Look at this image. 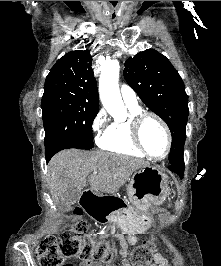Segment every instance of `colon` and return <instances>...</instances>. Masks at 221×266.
Masks as SVG:
<instances>
[{
	"mask_svg": "<svg viewBox=\"0 0 221 266\" xmlns=\"http://www.w3.org/2000/svg\"><path fill=\"white\" fill-rule=\"evenodd\" d=\"M78 214L80 210L76 211ZM88 225L78 222L59 237L44 238L38 247L40 266H73L65 263L66 258H80L84 261L94 260L108 263L112 252L104 241H94L87 235ZM156 248L155 239H149L136 247L130 257L132 266H149Z\"/></svg>",
	"mask_w": 221,
	"mask_h": 266,
	"instance_id": "obj_1",
	"label": "colon"
}]
</instances>
